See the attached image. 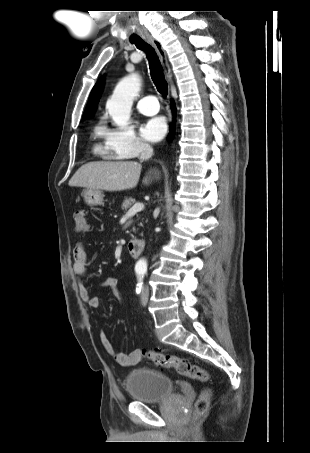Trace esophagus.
Returning a JSON list of instances; mask_svg holds the SVG:
<instances>
[{
    "mask_svg": "<svg viewBox=\"0 0 310 453\" xmlns=\"http://www.w3.org/2000/svg\"><path fill=\"white\" fill-rule=\"evenodd\" d=\"M146 41L149 44H151L154 47V49L156 50V52L158 53V55H159V57L161 59L162 65L164 67V71H165V74L167 76V79L171 82L172 81V73H171L170 66L168 64L166 52L163 49L161 42L156 40L153 37H147Z\"/></svg>",
    "mask_w": 310,
    "mask_h": 453,
    "instance_id": "obj_1",
    "label": "esophagus"
}]
</instances>
